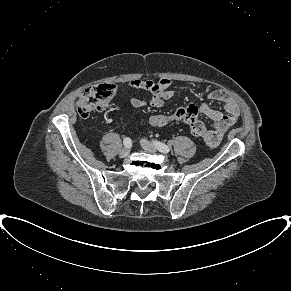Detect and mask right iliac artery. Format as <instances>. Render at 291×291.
<instances>
[{
  "mask_svg": "<svg viewBox=\"0 0 291 291\" xmlns=\"http://www.w3.org/2000/svg\"><path fill=\"white\" fill-rule=\"evenodd\" d=\"M123 144L125 147L129 148L131 145H132V141L129 137H126L124 140H123Z\"/></svg>",
  "mask_w": 291,
  "mask_h": 291,
  "instance_id": "right-iliac-artery-1",
  "label": "right iliac artery"
}]
</instances>
